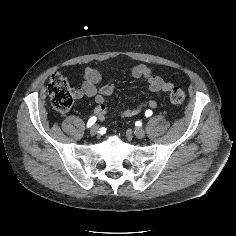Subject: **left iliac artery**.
Returning <instances> with one entry per match:
<instances>
[{"label": "left iliac artery", "mask_w": 236, "mask_h": 236, "mask_svg": "<svg viewBox=\"0 0 236 236\" xmlns=\"http://www.w3.org/2000/svg\"><path fill=\"white\" fill-rule=\"evenodd\" d=\"M151 115H152V111H151V110H146L145 116H146V117H149V116H151Z\"/></svg>", "instance_id": "44dca946"}]
</instances>
